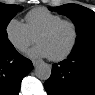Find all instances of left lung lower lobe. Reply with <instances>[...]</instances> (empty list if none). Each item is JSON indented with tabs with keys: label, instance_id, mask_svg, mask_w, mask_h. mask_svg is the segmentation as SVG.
<instances>
[{
	"label": "left lung lower lobe",
	"instance_id": "0a47b994",
	"mask_svg": "<svg viewBox=\"0 0 95 95\" xmlns=\"http://www.w3.org/2000/svg\"><path fill=\"white\" fill-rule=\"evenodd\" d=\"M44 86L49 95H95V43L54 64Z\"/></svg>",
	"mask_w": 95,
	"mask_h": 95
}]
</instances>
